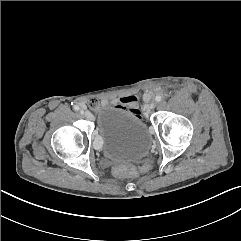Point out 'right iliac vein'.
<instances>
[{
    "instance_id": "right-iliac-vein-1",
    "label": "right iliac vein",
    "mask_w": 241,
    "mask_h": 241,
    "mask_svg": "<svg viewBox=\"0 0 241 241\" xmlns=\"http://www.w3.org/2000/svg\"><path fill=\"white\" fill-rule=\"evenodd\" d=\"M80 113L85 115L86 117L90 116V113L88 111L81 110Z\"/></svg>"
}]
</instances>
